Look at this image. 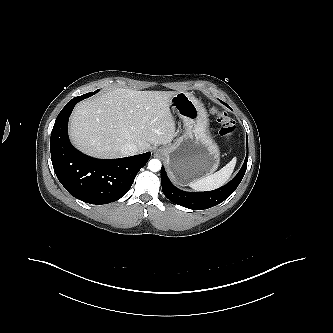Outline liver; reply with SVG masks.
<instances>
[{"instance_id": "obj_1", "label": "liver", "mask_w": 333, "mask_h": 333, "mask_svg": "<svg viewBox=\"0 0 333 333\" xmlns=\"http://www.w3.org/2000/svg\"><path fill=\"white\" fill-rule=\"evenodd\" d=\"M175 91H137L118 88L79 103L70 118L69 134L74 145L95 157L123 156L126 143L139 153L150 145L170 143L175 122L170 100Z\"/></svg>"}]
</instances>
